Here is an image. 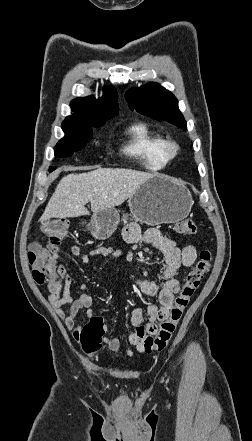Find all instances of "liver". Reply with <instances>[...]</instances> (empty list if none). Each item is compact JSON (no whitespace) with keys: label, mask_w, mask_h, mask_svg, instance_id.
Wrapping results in <instances>:
<instances>
[{"label":"liver","mask_w":252,"mask_h":441,"mask_svg":"<svg viewBox=\"0 0 252 441\" xmlns=\"http://www.w3.org/2000/svg\"><path fill=\"white\" fill-rule=\"evenodd\" d=\"M152 176V173L125 168H98L68 174L59 181L40 221L88 215L85 208L88 202L93 213L119 206Z\"/></svg>","instance_id":"1"}]
</instances>
